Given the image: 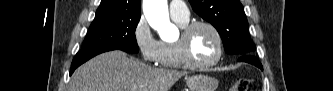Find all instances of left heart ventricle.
Returning <instances> with one entry per match:
<instances>
[{
	"label": "left heart ventricle",
	"mask_w": 333,
	"mask_h": 91,
	"mask_svg": "<svg viewBox=\"0 0 333 91\" xmlns=\"http://www.w3.org/2000/svg\"><path fill=\"white\" fill-rule=\"evenodd\" d=\"M190 48L193 60L199 63L212 60L218 51L214 34L205 27H199L194 31Z\"/></svg>",
	"instance_id": "obj_1"
}]
</instances>
